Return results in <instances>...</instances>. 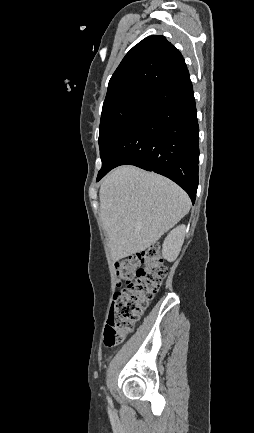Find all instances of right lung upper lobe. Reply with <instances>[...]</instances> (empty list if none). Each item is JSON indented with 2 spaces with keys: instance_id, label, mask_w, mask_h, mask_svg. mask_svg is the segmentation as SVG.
I'll use <instances>...</instances> for the list:
<instances>
[{
  "instance_id": "cb5924a9",
  "label": "right lung upper lobe",
  "mask_w": 254,
  "mask_h": 433,
  "mask_svg": "<svg viewBox=\"0 0 254 433\" xmlns=\"http://www.w3.org/2000/svg\"><path fill=\"white\" fill-rule=\"evenodd\" d=\"M186 69L183 56L164 36H149L125 55L112 75L103 108L128 99L148 100Z\"/></svg>"
}]
</instances>
